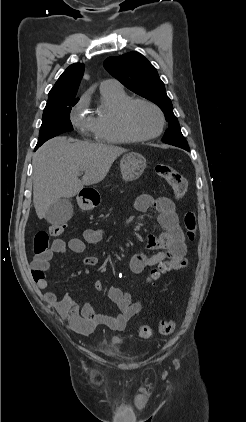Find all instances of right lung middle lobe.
I'll return each instance as SVG.
<instances>
[{
    "label": "right lung middle lobe",
    "mask_w": 246,
    "mask_h": 422,
    "mask_svg": "<svg viewBox=\"0 0 246 422\" xmlns=\"http://www.w3.org/2000/svg\"><path fill=\"white\" fill-rule=\"evenodd\" d=\"M77 101H67L53 106H46L43 112L39 140L35 149L48 139L73 130L70 111Z\"/></svg>",
    "instance_id": "right-lung-middle-lobe-1"
}]
</instances>
